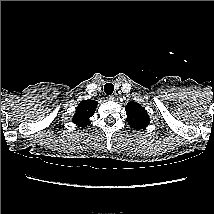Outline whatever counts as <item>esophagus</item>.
<instances>
[{
  "instance_id": "esophagus-1",
  "label": "esophagus",
  "mask_w": 214,
  "mask_h": 214,
  "mask_svg": "<svg viewBox=\"0 0 214 214\" xmlns=\"http://www.w3.org/2000/svg\"><path fill=\"white\" fill-rule=\"evenodd\" d=\"M107 100L114 101L115 97L113 95H110V96L107 97Z\"/></svg>"
}]
</instances>
